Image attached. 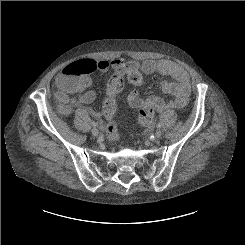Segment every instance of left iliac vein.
I'll list each match as a JSON object with an SVG mask.
<instances>
[{
    "label": "left iliac vein",
    "instance_id": "left-iliac-vein-1",
    "mask_svg": "<svg viewBox=\"0 0 245 245\" xmlns=\"http://www.w3.org/2000/svg\"><path fill=\"white\" fill-rule=\"evenodd\" d=\"M161 136H162L161 130H157V131L155 132V138L158 139V138H160Z\"/></svg>",
    "mask_w": 245,
    "mask_h": 245
}]
</instances>
